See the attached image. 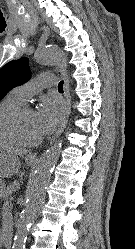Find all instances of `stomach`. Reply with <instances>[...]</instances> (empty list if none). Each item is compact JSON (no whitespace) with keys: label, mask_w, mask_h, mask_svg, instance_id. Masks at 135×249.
<instances>
[{"label":"stomach","mask_w":135,"mask_h":249,"mask_svg":"<svg viewBox=\"0 0 135 249\" xmlns=\"http://www.w3.org/2000/svg\"><path fill=\"white\" fill-rule=\"evenodd\" d=\"M32 165V161H28ZM20 167L19 159L16 155L9 153L4 149H0V177H11L18 173Z\"/></svg>","instance_id":"stomach-1"}]
</instances>
